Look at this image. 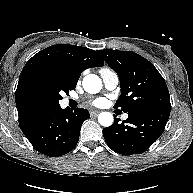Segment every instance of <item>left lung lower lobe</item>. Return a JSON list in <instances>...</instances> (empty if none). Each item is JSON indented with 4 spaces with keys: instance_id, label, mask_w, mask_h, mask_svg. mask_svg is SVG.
Segmentation results:
<instances>
[{
    "instance_id": "obj_1",
    "label": "left lung lower lobe",
    "mask_w": 193,
    "mask_h": 193,
    "mask_svg": "<svg viewBox=\"0 0 193 193\" xmlns=\"http://www.w3.org/2000/svg\"><path fill=\"white\" fill-rule=\"evenodd\" d=\"M170 115V109H159L134 115L127 120L114 123L103 129L108 146L124 155L140 154L146 151L163 133Z\"/></svg>"
}]
</instances>
